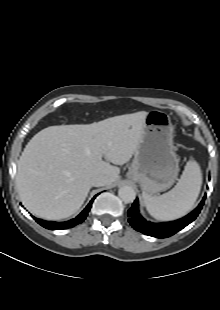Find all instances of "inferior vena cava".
<instances>
[{
  "mask_svg": "<svg viewBox=\"0 0 220 310\" xmlns=\"http://www.w3.org/2000/svg\"><path fill=\"white\" fill-rule=\"evenodd\" d=\"M107 181L108 180L106 176L99 174L92 177L91 184L92 186L100 187L106 185Z\"/></svg>",
  "mask_w": 220,
  "mask_h": 310,
  "instance_id": "obj_1",
  "label": "inferior vena cava"
}]
</instances>
